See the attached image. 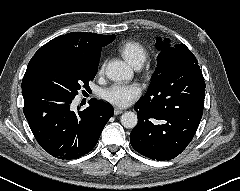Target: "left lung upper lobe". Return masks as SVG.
Listing matches in <instances>:
<instances>
[{
	"label": "left lung upper lobe",
	"mask_w": 240,
	"mask_h": 191,
	"mask_svg": "<svg viewBox=\"0 0 240 191\" xmlns=\"http://www.w3.org/2000/svg\"><path fill=\"white\" fill-rule=\"evenodd\" d=\"M160 53L149 89L141 99L151 101L164 92H181L185 80L202 75L198 61L184 44L170 45L169 39H157Z\"/></svg>",
	"instance_id": "left-lung-upper-lobe-1"
}]
</instances>
